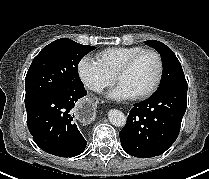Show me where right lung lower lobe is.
I'll return each instance as SVG.
<instances>
[{
	"label": "right lung lower lobe",
	"mask_w": 209,
	"mask_h": 179,
	"mask_svg": "<svg viewBox=\"0 0 209 179\" xmlns=\"http://www.w3.org/2000/svg\"><path fill=\"white\" fill-rule=\"evenodd\" d=\"M84 95V87L56 92L27 110L28 129L42 150L60 157H74L85 150L87 142L75 124L72 110Z\"/></svg>",
	"instance_id": "98d812e1"
}]
</instances>
